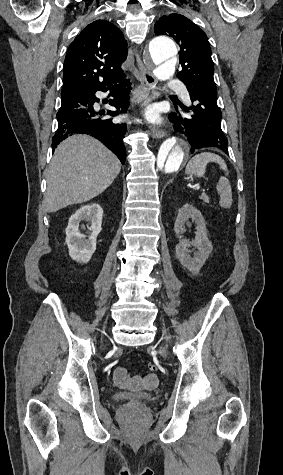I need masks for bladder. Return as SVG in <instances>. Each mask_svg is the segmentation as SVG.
Instances as JSON below:
<instances>
[{"label":"bladder","mask_w":283,"mask_h":475,"mask_svg":"<svg viewBox=\"0 0 283 475\" xmlns=\"http://www.w3.org/2000/svg\"><path fill=\"white\" fill-rule=\"evenodd\" d=\"M112 398L118 400L121 403H125L128 406H143L146 405L147 402H150L154 399L155 395H147V396H138L135 393L132 392H126V393H112L111 394Z\"/></svg>","instance_id":"obj_1"}]
</instances>
